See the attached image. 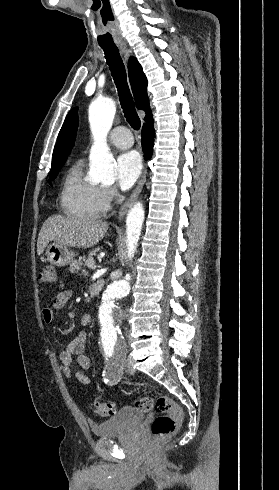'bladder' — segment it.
Segmentation results:
<instances>
[{
    "label": "bladder",
    "instance_id": "31cf9c89",
    "mask_svg": "<svg viewBox=\"0 0 279 490\" xmlns=\"http://www.w3.org/2000/svg\"><path fill=\"white\" fill-rule=\"evenodd\" d=\"M145 416L138 408L124 405L113 417L102 422H93L90 428L94 437H112L121 432H131Z\"/></svg>",
    "mask_w": 279,
    "mask_h": 490
}]
</instances>
